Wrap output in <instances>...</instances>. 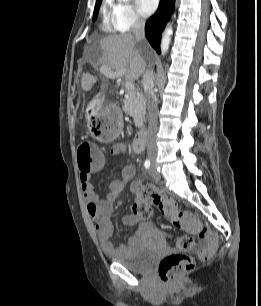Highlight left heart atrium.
<instances>
[{"label": "left heart atrium", "mask_w": 261, "mask_h": 306, "mask_svg": "<svg viewBox=\"0 0 261 306\" xmlns=\"http://www.w3.org/2000/svg\"><path fill=\"white\" fill-rule=\"evenodd\" d=\"M159 0H136L138 11L143 16L152 14L157 6Z\"/></svg>", "instance_id": "left-heart-atrium-1"}]
</instances>
